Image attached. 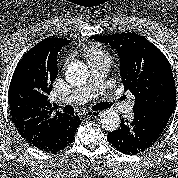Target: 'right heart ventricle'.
Segmentation results:
<instances>
[{
	"label": "right heart ventricle",
	"instance_id": "obj_1",
	"mask_svg": "<svg viewBox=\"0 0 178 178\" xmlns=\"http://www.w3.org/2000/svg\"><path fill=\"white\" fill-rule=\"evenodd\" d=\"M84 56L87 59V61L95 59H110V57L106 53L97 48L87 49L84 52Z\"/></svg>",
	"mask_w": 178,
	"mask_h": 178
}]
</instances>
